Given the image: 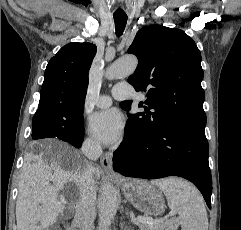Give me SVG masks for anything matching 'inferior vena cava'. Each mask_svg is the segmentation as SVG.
Segmentation results:
<instances>
[{
    "label": "inferior vena cava",
    "instance_id": "inferior-vena-cava-1",
    "mask_svg": "<svg viewBox=\"0 0 241 230\" xmlns=\"http://www.w3.org/2000/svg\"><path fill=\"white\" fill-rule=\"evenodd\" d=\"M101 152L100 144H88L84 147V154L89 158H95ZM79 189V200L75 207L74 223L79 230H93L96 215V185L90 165L80 176Z\"/></svg>",
    "mask_w": 241,
    "mask_h": 230
}]
</instances>
